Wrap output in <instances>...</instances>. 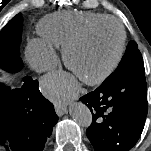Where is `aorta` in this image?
Listing matches in <instances>:
<instances>
[{
	"instance_id": "aorta-1",
	"label": "aorta",
	"mask_w": 151,
	"mask_h": 151,
	"mask_svg": "<svg viewBox=\"0 0 151 151\" xmlns=\"http://www.w3.org/2000/svg\"><path fill=\"white\" fill-rule=\"evenodd\" d=\"M70 116L82 127H89L92 123V113L90 109L81 102H74L69 107Z\"/></svg>"
}]
</instances>
